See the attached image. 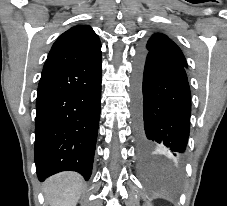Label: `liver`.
<instances>
[{
    "label": "liver",
    "instance_id": "liver-1",
    "mask_svg": "<svg viewBox=\"0 0 227 206\" xmlns=\"http://www.w3.org/2000/svg\"><path fill=\"white\" fill-rule=\"evenodd\" d=\"M83 189L79 174L62 172L47 179L43 191L50 206H76Z\"/></svg>",
    "mask_w": 227,
    "mask_h": 206
}]
</instances>
